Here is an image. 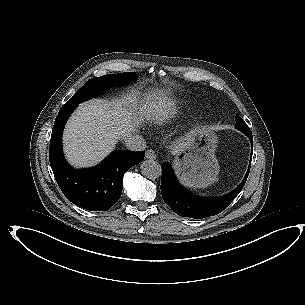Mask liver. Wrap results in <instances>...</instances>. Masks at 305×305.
<instances>
[{
	"instance_id": "liver-1",
	"label": "liver",
	"mask_w": 305,
	"mask_h": 305,
	"mask_svg": "<svg viewBox=\"0 0 305 305\" xmlns=\"http://www.w3.org/2000/svg\"><path fill=\"white\" fill-rule=\"evenodd\" d=\"M170 118L171 114L167 112L149 111L145 105L139 107L133 95L115 102L99 98L86 101L77 106L65 125V158L75 168L95 166L115 149L119 138L130 137L145 121L151 120L161 126ZM192 134L176 140L175 153L188 145Z\"/></svg>"
}]
</instances>
